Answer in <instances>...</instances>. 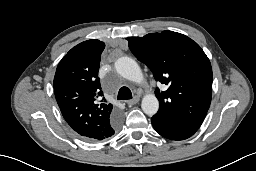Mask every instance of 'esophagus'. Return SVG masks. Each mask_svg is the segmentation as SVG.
<instances>
[{"label":"esophagus","mask_w":256,"mask_h":171,"mask_svg":"<svg viewBox=\"0 0 256 171\" xmlns=\"http://www.w3.org/2000/svg\"><path fill=\"white\" fill-rule=\"evenodd\" d=\"M139 97H134L132 100H128V101H126V103L128 104V105H130V106H132V105H135L136 103H138L139 102Z\"/></svg>","instance_id":"34e87169"}]
</instances>
